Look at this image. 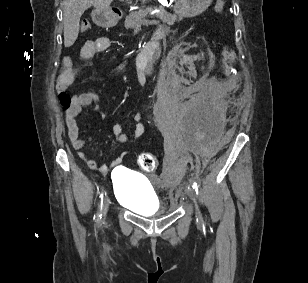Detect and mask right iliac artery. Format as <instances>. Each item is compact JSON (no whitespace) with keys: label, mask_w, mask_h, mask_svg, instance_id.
Listing matches in <instances>:
<instances>
[{"label":"right iliac artery","mask_w":308,"mask_h":283,"mask_svg":"<svg viewBox=\"0 0 308 283\" xmlns=\"http://www.w3.org/2000/svg\"><path fill=\"white\" fill-rule=\"evenodd\" d=\"M106 194V192H105ZM100 200L98 202V211H97V222H99L102 218L103 208H104V192H102L99 196Z\"/></svg>","instance_id":"obj_1"}]
</instances>
